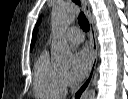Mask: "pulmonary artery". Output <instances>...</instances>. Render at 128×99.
Masks as SVG:
<instances>
[{"mask_svg":"<svg viewBox=\"0 0 128 99\" xmlns=\"http://www.w3.org/2000/svg\"><path fill=\"white\" fill-rule=\"evenodd\" d=\"M67 39L72 43H81L84 40L83 33L76 27H71L66 32Z\"/></svg>","mask_w":128,"mask_h":99,"instance_id":"pulmonary-artery-1","label":"pulmonary artery"}]
</instances>
